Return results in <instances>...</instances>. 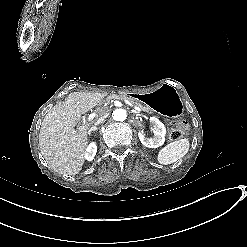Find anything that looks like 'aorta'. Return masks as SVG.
Segmentation results:
<instances>
[{"mask_svg": "<svg viewBox=\"0 0 247 247\" xmlns=\"http://www.w3.org/2000/svg\"><path fill=\"white\" fill-rule=\"evenodd\" d=\"M112 117L115 121H124L127 118V113L125 109H116L112 113Z\"/></svg>", "mask_w": 247, "mask_h": 247, "instance_id": "762f6f07", "label": "aorta"}]
</instances>
